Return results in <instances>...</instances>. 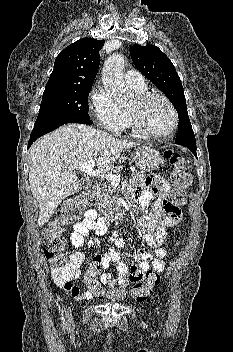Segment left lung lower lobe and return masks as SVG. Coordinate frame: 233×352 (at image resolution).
<instances>
[{"instance_id":"obj_1","label":"left lung lower lobe","mask_w":233,"mask_h":352,"mask_svg":"<svg viewBox=\"0 0 233 352\" xmlns=\"http://www.w3.org/2000/svg\"><path fill=\"white\" fill-rule=\"evenodd\" d=\"M184 146H186L187 148H189L190 151H191L192 153H194L195 156H197V153H196V145H184Z\"/></svg>"}]
</instances>
